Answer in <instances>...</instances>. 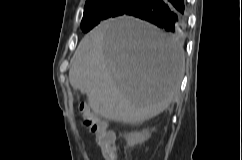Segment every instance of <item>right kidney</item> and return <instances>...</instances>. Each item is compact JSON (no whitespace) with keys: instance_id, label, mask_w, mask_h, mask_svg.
Instances as JSON below:
<instances>
[{"instance_id":"ca27d5eb","label":"right kidney","mask_w":242,"mask_h":160,"mask_svg":"<svg viewBox=\"0 0 242 160\" xmlns=\"http://www.w3.org/2000/svg\"><path fill=\"white\" fill-rule=\"evenodd\" d=\"M148 138H149V135L146 134L145 132H134L125 136V139L127 140V143L129 146H134L135 144H141Z\"/></svg>"}]
</instances>
